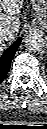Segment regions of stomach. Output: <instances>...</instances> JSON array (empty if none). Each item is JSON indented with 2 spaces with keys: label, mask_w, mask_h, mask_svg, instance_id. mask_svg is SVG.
<instances>
[{
  "label": "stomach",
  "mask_w": 47,
  "mask_h": 129,
  "mask_svg": "<svg viewBox=\"0 0 47 129\" xmlns=\"http://www.w3.org/2000/svg\"><path fill=\"white\" fill-rule=\"evenodd\" d=\"M35 11L32 26L47 30V0H30Z\"/></svg>",
  "instance_id": "1"
}]
</instances>
